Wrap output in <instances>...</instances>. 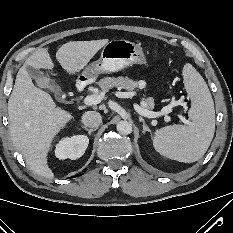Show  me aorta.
<instances>
[{
    "label": "aorta",
    "mask_w": 233,
    "mask_h": 233,
    "mask_svg": "<svg viewBox=\"0 0 233 233\" xmlns=\"http://www.w3.org/2000/svg\"><path fill=\"white\" fill-rule=\"evenodd\" d=\"M116 128L117 131L123 135H128L132 132V125L128 121L118 122Z\"/></svg>",
    "instance_id": "obj_1"
}]
</instances>
